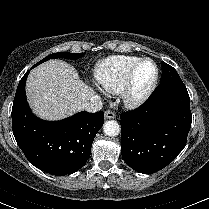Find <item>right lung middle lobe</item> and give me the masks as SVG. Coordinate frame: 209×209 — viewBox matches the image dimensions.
<instances>
[{
  "label": "right lung middle lobe",
  "instance_id": "dd1d6c3e",
  "mask_svg": "<svg viewBox=\"0 0 209 209\" xmlns=\"http://www.w3.org/2000/svg\"><path fill=\"white\" fill-rule=\"evenodd\" d=\"M83 54L82 53H69V52H59V53H53L47 57H45L44 59H42L41 61H39L37 64H35L33 67L47 61L48 59L51 58H67V59H77L79 57H81Z\"/></svg>",
  "mask_w": 209,
  "mask_h": 209
}]
</instances>
